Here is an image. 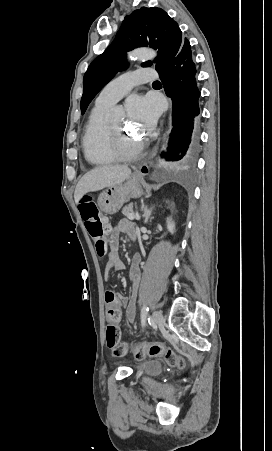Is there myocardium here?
Masks as SVG:
<instances>
[{
  "instance_id": "obj_1",
  "label": "myocardium",
  "mask_w": 272,
  "mask_h": 451,
  "mask_svg": "<svg viewBox=\"0 0 272 451\" xmlns=\"http://www.w3.org/2000/svg\"><path fill=\"white\" fill-rule=\"evenodd\" d=\"M105 135H106L107 141L113 142L114 143V149L115 150L118 149L120 151V154H122V155L131 156L137 149L136 145L130 146L127 143H124V144L118 143L116 141L113 129H112L110 124L107 125Z\"/></svg>"
}]
</instances>
